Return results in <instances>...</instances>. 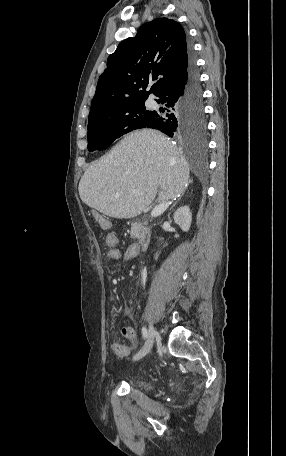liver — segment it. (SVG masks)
<instances>
[{
	"instance_id": "obj_1",
	"label": "liver",
	"mask_w": 286,
	"mask_h": 456,
	"mask_svg": "<svg viewBox=\"0 0 286 456\" xmlns=\"http://www.w3.org/2000/svg\"><path fill=\"white\" fill-rule=\"evenodd\" d=\"M189 165L182 150L163 133L137 130L86 169L81 200L104 215L131 218L155 199L165 202L184 192Z\"/></svg>"
}]
</instances>
